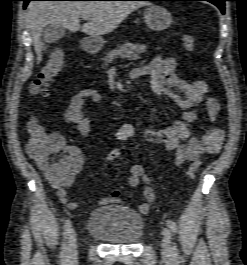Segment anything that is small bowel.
Instances as JSON below:
<instances>
[{
    "instance_id": "small-bowel-1",
    "label": "small bowel",
    "mask_w": 247,
    "mask_h": 265,
    "mask_svg": "<svg viewBox=\"0 0 247 265\" xmlns=\"http://www.w3.org/2000/svg\"><path fill=\"white\" fill-rule=\"evenodd\" d=\"M177 61L172 57L156 56L149 63L132 70L133 78L150 77L153 93L160 99H169L183 110L179 120L163 128L151 126L145 131V138L152 144L160 145L167 151L175 153V164L180 166L185 162L194 161L203 154L218 153L224 140V131L216 126H210L204 134L198 135L197 129L203 125V118L197 106H202L206 119L213 123L220 111V105L215 96L210 94L206 82L202 80H185L176 73ZM101 93L94 88L79 90L70 101L63 114V120L68 125L76 127L84 137L90 134L91 119L85 113L88 100L99 102ZM136 134L133 124H121L116 132L117 140L125 141ZM59 135V134H58ZM63 141L61 135H59ZM63 151L71 161V168L67 176L61 180L48 177L49 183L56 190L59 201L70 210L78 207V203L68 197V190L73 185L76 176L84 165V153L81 148L73 145H64ZM128 183L132 187L144 185V202L138 205L141 213H147L155 200V190L150 186L151 178L146 174L141 164L130 167ZM111 203H125L121 198V191L113 189L107 196L101 198L98 204L101 206Z\"/></svg>"
}]
</instances>
